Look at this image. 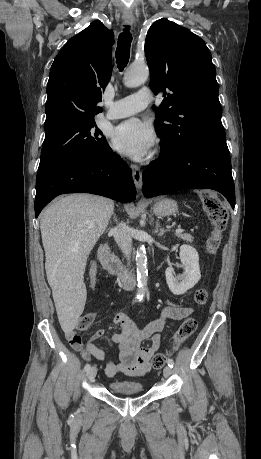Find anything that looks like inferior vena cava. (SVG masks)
Segmentation results:
<instances>
[{"label": "inferior vena cava", "instance_id": "obj_1", "mask_svg": "<svg viewBox=\"0 0 261 459\" xmlns=\"http://www.w3.org/2000/svg\"><path fill=\"white\" fill-rule=\"evenodd\" d=\"M115 240L126 256L128 264L130 263V256L132 252V238L129 233V227L125 223H120L113 229Z\"/></svg>", "mask_w": 261, "mask_h": 459}]
</instances>
